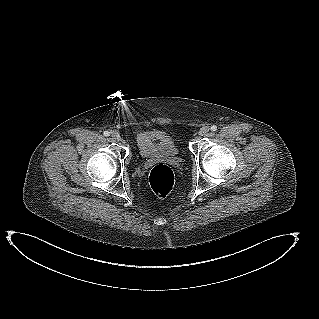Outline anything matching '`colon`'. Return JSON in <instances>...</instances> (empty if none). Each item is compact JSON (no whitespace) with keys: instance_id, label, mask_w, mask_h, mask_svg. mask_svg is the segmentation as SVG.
I'll list each match as a JSON object with an SVG mask.
<instances>
[{"instance_id":"5ec220e1","label":"colon","mask_w":319,"mask_h":319,"mask_svg":"<svg viewBox=\"0 0 319 319\" xmlns=\"http://www.w3.org/2000/svg\"><path fill=\"white\" fill-rule=\"evenodd\" d=\"M149 183L158 197L168 196L174 186L173 170L165 164L154 166L149 175Z\"/></svg>"}]
</instances>
